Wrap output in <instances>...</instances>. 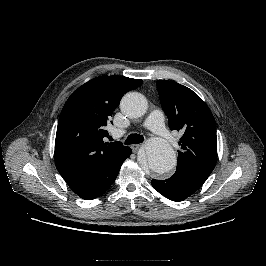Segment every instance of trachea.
Wrapping results in <instances>:
<instances>
[{"mask_svg":"<svg viewBox=\"0 0 266 266\" xmlns=\"http://www.w3.org/2000/svg\"><path fill=\"white\" fill-rule=\"evenodd\" d=\"M144 140L143 135L140 134H131L127 137V139L125 140V144H139L142 143Z\"/></svg>","mask_w":266,"mask_h":266,"instance_id":"obj_1","label":"trachea"}]
</instances>
